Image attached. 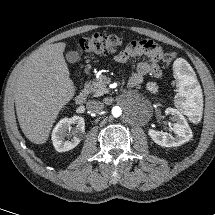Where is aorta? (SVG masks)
<instances>
[{"label": "aorta", "instance_id": "aorta-1", "mask_svg": "<svg viewBox=\"0 0 215 215\" xmlns=\"http://www.w3.org/2000/svg\"><path fill=\"white\" fill-rule=\"evenodd\" d=\"M112 113L115 117H118L121 114V109L119 107H115L113 108Z\"/></svg>", "mask_w": 215, "mask_h": 215}]
</instances>
